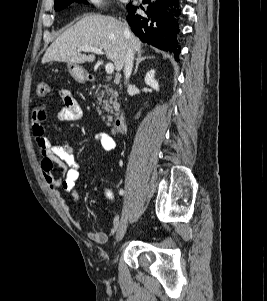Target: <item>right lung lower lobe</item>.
I'll return each instance as SVG.
<instances>
[{"instance_id":"obj_1","label":"right lung lower lobe","mask_w":267,"mask_h":301,"mask_svg":"<svg viewBox=\"0 0 267 301\" xmlns=\"http://www.w3.org/2000/svg\"><path fill=\"white\" fill-rule=\"evenodd\" d=\"M148 4L142 14L136 7L127 5V21L141 41L159 49L175 53L178 60L180 45L177 42L179 29L178 0H143Z\"/></svg>"}]
</instances>
